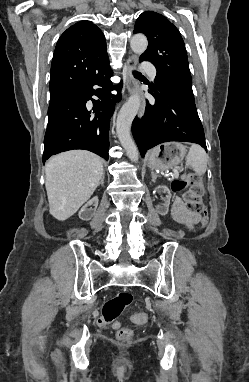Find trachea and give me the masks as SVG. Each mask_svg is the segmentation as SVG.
<instances>
[{
  "label": "trachea",
  "mask_w": 249,
  "mask_h": 382,
  "mask_svg": "<svg viewBox=\"0 0 249 382\" xmlns=\"http://www.w3.org/2000/svg\"><path fill=\"white\" fill-rule=\"evenodd\" d=\"M133 74L136 75V74H139V72H137V71H133Z\"/></svg>",
  "instance_id": "trachea-1"
}]
</instances>
